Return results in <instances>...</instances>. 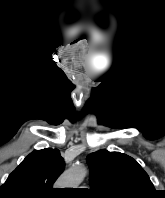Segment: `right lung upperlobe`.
Segmentation results:
<instances>
[{
    "label": "right lung upper lobe",
    "mask_w": 165,
    "mask_h": 198,
    "mask_svg": "<svg viewBox=\"0 0 165 198\" xmlns=\"http://www.w3.org/2000/svg\"><path fill=\"white\" fill-rule=\"evenodd\" d=\"M64 160L57 149L46 148L30 153L9 175L2 188L9 194L26 198H45L64 170Z\"/></svg>",
    "instance_id": "right-lung-upper-lobe-1"
}]
</instances>
